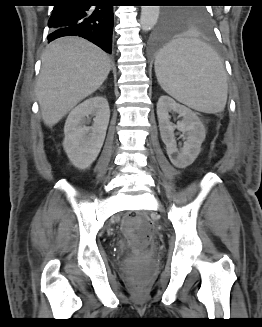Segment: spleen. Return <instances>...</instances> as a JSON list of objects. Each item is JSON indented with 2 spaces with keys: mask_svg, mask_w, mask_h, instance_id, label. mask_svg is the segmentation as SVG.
Returning <instances> with one entry per match:
<instances>
[{
  "mask_svg": "<svg viewBox=\"0 0 262 327\" xmlns=\"http://www.w3.org/2000/svg\"><path fill=\"white\" fill-rule=\"evenodd\" d=\"M154 65L162 89L179 102L204 113L224 110L226 71L208 44L197 39L173 40L159 51Z\"/></svg>",
  "mask_w": 262,
  "mask_h": 327,
  "instance_id": "spleen-1",
  "label": "spleen"
}]
</instances>
